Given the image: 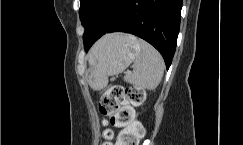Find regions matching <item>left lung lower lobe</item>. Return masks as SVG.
<instances>
[{"label": "left lung lower lobe", "instance_id": "left-lung-lower-lobe-1", "mask_svg": "<svg viewBox=\"0 0 243 145\" xmlns=\"http://www.w3.org/2000/svg\"><path fill=\"white\" fill-rule=\"evenodd\" d=\"M182 0H125L109 23L89 22L83 36L86 51L105 33L126 32L152 44L163 56L167 69L176 49Z\"/></svg>", "mask_w": 243, "mask_h": 145}]
</instances>
